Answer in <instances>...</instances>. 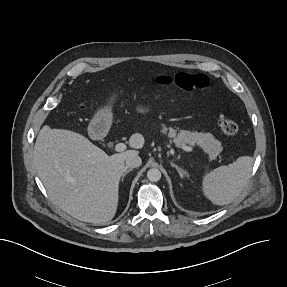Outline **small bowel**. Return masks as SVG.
<instances>
[{
  "mask_svg": "<svg viewBox=\"0 0 287 287\" xmlns=\"http://www.w3.org/2000/svg\"><path fill=\"white\" fill-rule=\"evenodd\" d=\"M139 111H142V108H138Z\"/></svg>",
  "mask_w": 287,
  "mask_h": 287,
  "instance_id": "small-bowel-1",
  "label": "small bowel"
}]
</instances>
